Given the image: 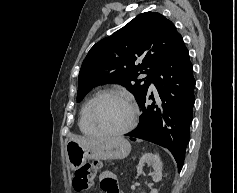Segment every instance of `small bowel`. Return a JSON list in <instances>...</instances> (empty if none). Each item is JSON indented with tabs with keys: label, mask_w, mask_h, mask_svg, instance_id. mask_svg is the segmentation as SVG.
<instances>
[{
	"label": "small bowel",
	"mask_w": 237,
	"mask_h": 193,
	"mask_svg": "<svg viewBox=\"0 0 237 193\" xmlns=\"http://www.w3.org/2000/svg\"><path fill=\"white\" fill-rule=\"evenodd\" d=\"M100 186L104 193H119L116 176L110 171L101 174Z\"/></svg>",
	"instance_id": "1"
}]
</instances>
